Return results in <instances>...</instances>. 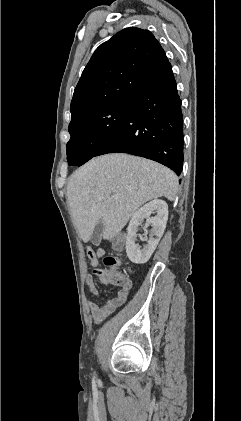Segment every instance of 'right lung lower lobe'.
<instances>
[{
  "label": "right lung lower lobe",
  "mask_w": 241,
  "mask_h": 421,
  "mask_svg": "<svg viewBox=\"0 0 241 421\" xmlns=\"http://www.w3.org/2000/svg\"><path fill=\"white\" fill-rule=\"evenodd\" d=\"M181 100L169 61L128 100L123 123L96 156L122 152L157 161L179 176L183 163Z\"/></svg>",
  "instance_id": "1"
}]
</instances>
